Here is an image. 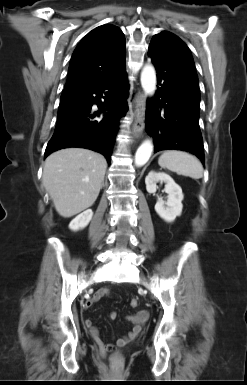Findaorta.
<instances>
[{
  "label": "aorta",
  "instance_id": "1",
  "mask_svg": "<svg viewBox=\"0 0 247 385\" xmlns=\"http://www.w3.org/2000/svg\"><path fill=\"white\" fill-rule=\"evenodd\" d=\"M141 86L146 95H153L156 90V72L152 65H145L141 72ZM153 144L150 140L144 141L135 154V165L143 166L151 157Z\"/></svg>",
  "mask_w": 247,
  "mask_h": 385
}]
</instances>
